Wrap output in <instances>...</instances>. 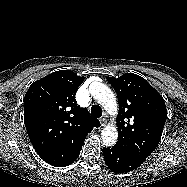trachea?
<instances>
[{"mask_svg": "<svg viewBox=\"0 0 187 187\" xmlns=\"http://www.w3.org/2000/svg\"><path fill=\"white\" fill-rule=\"evenodd\" d=\"M91 115L95 118H100L102 116V109L98 105H93L91 107Z\"/></svg>", "mask_w": 187, "mask_h": 187, "instance_id": "obj_1", "label": "trachea"}]
</instances>
